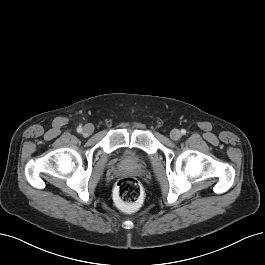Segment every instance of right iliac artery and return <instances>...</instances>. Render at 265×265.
Segmentation results:
<instances>
[{
  "label": "right iliac artery",
  "mask_w": 265,
  "mask_h": 265,
  "mask_svg": "<svg viewBox=\"0 0 265 265\" xmlns=\"http://www.w3.org/2000/svg\"><path fill=\"white\" fill-rule=\"evenodd\" d=\"M77 132H78V133L82 132V128H81V127H78V128H77Z\"/></svg>",
  "instance_id": "1"
}]
</instances>
